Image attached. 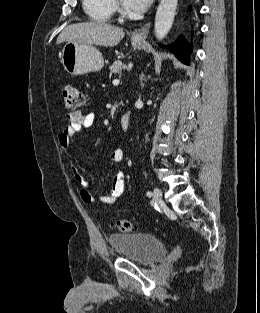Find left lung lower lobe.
<instances>
[{"mask_svg": "<svg viewBox=\"0 0 260 313\" xmlns=\"http://www.w3.org/2000/svg\"><path fill=\"white\" fill-rule=\"evenodd\" d=\"M176 57L182 62L189 64L188 57L191 53V46H187L184 43L182 37H180L174 44L167 46Z\"/></svg>", "mask_w": 260, "mask_h": 313, "instance_id": "left-lung-lower-lobe-1", "label": "left lung lower lobe"}]
</instances>
